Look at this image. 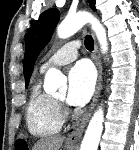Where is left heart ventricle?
Here are the masks:
<instances>
[{
    "instance_id": "1",
    "label": "left heart ventricle",
    "mask_w": 139,
    "mask_h": 150,
    "mask_svg": "<svg viewBox=\"0 0 139 150\" xmlns=\"http://www.w3.org/2000/svg\"><path fill=\"white\" fill-rule=\"evenodd\" d=\"M66 97L65 93H60L56 96L57 99L64 100Z\"/></svg>"
}]
</instances>
